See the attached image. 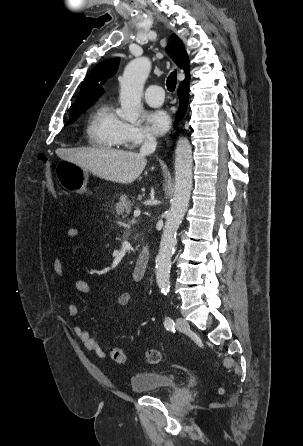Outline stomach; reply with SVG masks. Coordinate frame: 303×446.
<instances>
[{
  "label": "stomach",
  "mask_w": 303,
  "mask_h": 446,
  "mask_svg": "<svg viewBox=\"0 0 303 446\" xmlns=\"http://www.w3.org/2000/svg\"><path fill=\"white\" fill-rule=\"evenodd\" d=\"M59 184L70 192L91 194L87 190L88 170L67 160H61L55 168Z\"/></svg>",
  "instance_id": "1"
}]
</instances>
